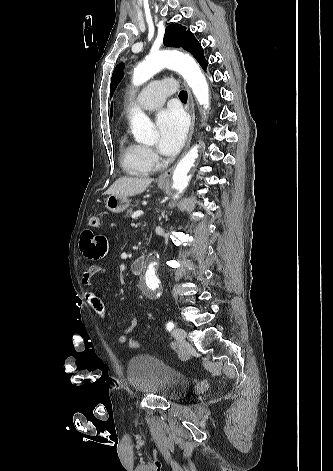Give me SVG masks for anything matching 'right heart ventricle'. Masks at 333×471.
I'll use <instances>...</instances> for the list:
<instances>
[{
  "label": "right heart ventricle",
  "mask_w": 333,
  "mask_h": 471,
  "mask_svg": "<svg viewBox=\"0 0 333 471\" xmlns=\"http://www.w3.org/2000/svg\"><path fill=\"white\" fill-rule=\"evenodd\" d=\"M120 158L123 169L130 175L144 176L152 172L153 166L144 156V147L130 141L126 135L120 138Z\"/></svg>",
  "instance_id": "right-heart-ventricle-1"
}]
</instances>
